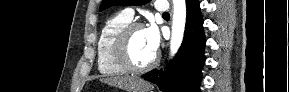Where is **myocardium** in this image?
Returning <instances> with one entry per match:
<instances>
[{
  "label": "myocardium",
  "instance_id": "1",
  "mask_svg": "<svg viewBox=\"0 0 289 92\" xmlns=\"http://www.w3.org/2000/svg\"><path fill=\"white\" fill-rule=\"evenodd\" d=\"M144 29V24L141 22H130L124 26L117 34L113 43V56L115 61L124 68L127 72L142 73L156 66L159 60L158 54L145 65H137L133 62L129 53V45L132 35L135 31Z\"/></svg>",
  "mask_w": 289,
  "mask_h": 92
}]
</instances>
